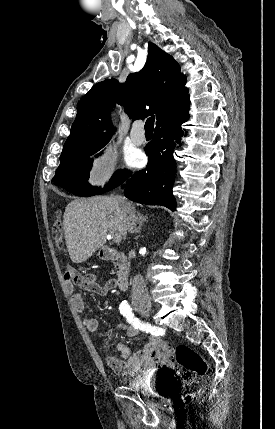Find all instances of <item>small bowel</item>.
Wrapping results in <instances>:
<instances>
[{"mask_svg": "<svg viewBox=\"0 0 275 429\" xmlns=\"http://www.w3.org/2000/svg\"><path fill=\"white\" fill-rule=\"evenodd\" d=\"M68 292L72 296V304L78 312H84L85 302L81 293L75 292V285L82 289L99 295H105L115 287V280L109 279L103 284L97 282L94 274H81L75 269L70 268V276L64 277ZM84 325L91 332H96L99 329L100 323L95 317H85ZM118 330L125 331L127 336L135 337L139 334L140 329L134 327L118 326ZM162 343L156 336H152L145 347L131 355L129 347L123 342H117L116 349L120 353V357L107 356L106 362L108 366L117 374L125 377H135L141 373H149L156 370L157 353Z\"/></svg>", "mask_w": 275, "mask_h": 429, "instance_id": "c3829d8e", "label": "small bowel"}]
</instances>
